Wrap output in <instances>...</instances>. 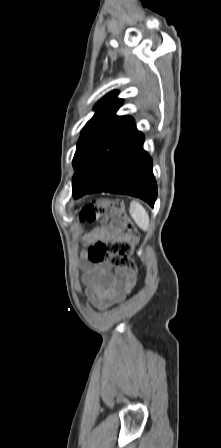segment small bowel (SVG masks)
I'll use <instances>...</instances> for the list:
<instances>
[{
	"mask_svg": "<svg viewBox=\"0 0 221 448\" xmlns=\"http://www.w3.org/2000/svg\"><path fill=\"white\" fill-rule=\"evenodd\" d=\"M103 240L126 241L127 235L117 225L110 223L109 231L100 233ZM84 281L92 303L107 308L122 301L136 283V277L127 269L108 263L87 266Z\"/></svg>",
	"mask_w": 221,
	"mask_h": 448,
	"instance_id": "small-bowel-1",
	"label": "small bowel"
}]
</instances>
